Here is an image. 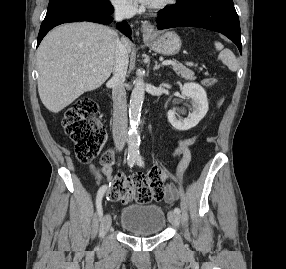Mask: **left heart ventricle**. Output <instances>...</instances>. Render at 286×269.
Instances as JSON below:
<instances>
[{
    "instance_id": "left-heart-ventricle-1",
    "label": "left heart ventricle",
    "mask_w": 286,
    "mask_h": 269,
    "mask_svg": "<svg viewBox=\"0 0 286 269\" xmlns=\"http://www.w3.org/2000/svg\"><path fill=\"white\" fill-rule=\"evenodd\" d=\"M160 1H162V0H154L153 3H152V5H153V4H156V3L160 2Z\"/></svg>"
}]
</instances>
